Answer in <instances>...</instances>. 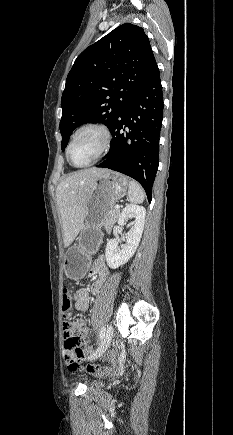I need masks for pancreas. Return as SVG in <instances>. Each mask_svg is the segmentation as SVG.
<instances>
[{"mask_svg": "<svg viewBox=\"0 0 233 435\" xmlns=\"http://www.w3.org/2000/svg\"><path fill=\"white\" fill-rule=\"evenodd\" d=\"M119 213H120L119 210L116 209V208H114V207L109 211L108 216H107V219H106V221H105V223H104V225H103V226L105 227L106 230H110L112 224H113V223L116 221V219L118 218Z\"/></svg>", "mask_w": 233, "mask_h": 435, "instance_id": "obj_1", "label": "pancreas"}]
</instances>
